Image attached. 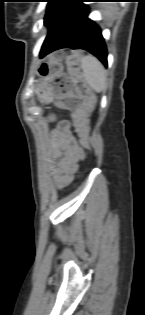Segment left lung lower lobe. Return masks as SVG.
I'll list each match as a JSON object with an SVG mask.
<instances>
[{"instance_id": "0a47b994", "label": "left lung lower lobe", "mask_w": 145, "mask_h": 315, "mask_svg": "<svg viewBox=\"0 0 145 315\" xmlns=\"http://www.w3.org/2000/svg\"><path fill=\"white\" fill-rule=\"evenodd\" d=\"M73 0L50 28L41 48L40 57L60 48L84 49L107 66V49L99 26L88 18L83 2Z\"/></svg>"}]
</instances>
